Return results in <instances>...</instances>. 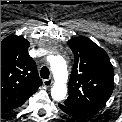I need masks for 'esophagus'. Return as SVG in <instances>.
<instances>
[{
	"mask_svg": "<svg viewBox=\"0 0 122 122\" xmlns=\"http://www.w3.org/2000/svg\"><path fill=\"white\" fill-rule=\"evenodd\" d=\"M52 84H53V80H52V79H45V80L43 81V85H44L45 87H50Z\"/></svg>",
	"mask_w": 122,
	"mask_h": 122,
	"instance_id": "34e87169",
	"label": "esophagus"
}]
</instances>
